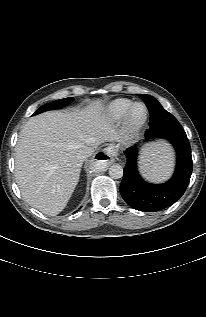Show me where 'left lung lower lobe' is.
I'll use <instances>...</instances> for the list:
<instances>
[{"instance_id": "left-lung-lower-lobe-1", "label": "left lung lower lobe", "mask_w": 206, "mask_h": 317, "mask_svg": "<svg viewBox=\"0 0 206 317\" xmlns=\"http://www.w3.org/2000/svg\"><path fill=\"white\" fill-rule=\"evenodd\" d=\"M146 139L162 138L169 141L176 150L177 165L173 177L164 184L153 185L145 182L137 171V147L124 151L127 163L120 184V193L132 208L156 212L175 203L185 192L192 173L191 149L185 132H165L147 135Z\"/></svg>"}]
</instances>
